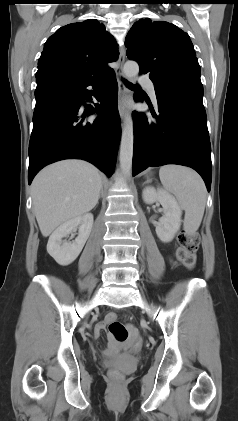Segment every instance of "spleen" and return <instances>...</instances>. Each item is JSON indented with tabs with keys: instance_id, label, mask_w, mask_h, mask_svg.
I'll return each mask as SVG.
<instances>
[{
	"instance_id": "3e777b00",
	"label": "spleen",
	"mask_w": 238,
	"mask_h": 421,
	"mask_svg": "<svg viewBox=\"0 0 238 421\" xmlns=\"http://www.w3.org/2000/svg\"><path fill=\"white\" fill-rule=\"evenodd\" d=\"M163 187L174 194L185 211L184 229L193 234L199 228L206 205V187L194 170L178 165H164L159 170Z\"/></svg>"
}]
</instances>
